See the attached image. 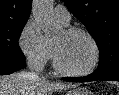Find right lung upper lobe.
Masks as SVG:
<instances>
[{"mask_svg":"<svg viewBox=\"0 0 119 95\" xmlns=\"http://www.w3.org/2000/svg\"><path fill=\"white\" fill-rule=\"evenodd\" d=\"M31 3L32 0H0V26L27 21Z\"/></svg>","mask_w":119,"mask_h":95,"instance_id":"obj_1","label":"right lung upper lobe"}]
</instances>
